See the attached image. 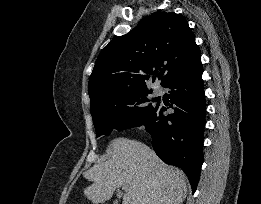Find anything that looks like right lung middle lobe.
Wrapping results in <instances>:
<instances>
[{
	"label": "right lung middle lobe",
	"mask_w": 261,
	"mask_h": 204,
	"mask_svg": "<svg viewBox=\"0 0 261 204\" xmlns=\"http://www.w3.org/2000/svg\"><path fill=\"white\" fill-rule=\"evenodd\" d=\"M151 92L129 91L109 102L92 106L90 111L97 137L110 134L113 129H129L141 123L154 109L147 98Z\"/></svg>",
	"instance_id": "dd1d6c3e"
}]
</instances>
